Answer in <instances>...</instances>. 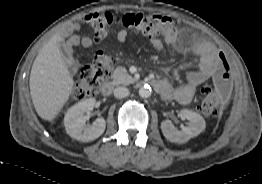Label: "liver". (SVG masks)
<instances>
[{
	"mask_svg": "<svg viewBox=\"0 0 262 184\" xmlns=\"http://www.w3.org/2000/svg\"><path fill=\"white\" fill-rule=\"evenodd\" d=\"M64 37L54 34L41 48L30 73V93L37 114L52 121L73 91L74 80L64 62L58 43Z\"/></svg>",
	"mask_w": 262,
	"mask_h": 184,
	"instance_id": "6515ba94",
	"label": "liver"
}]
</instances>
